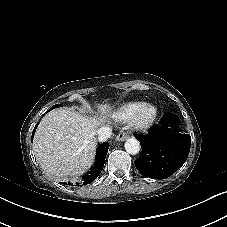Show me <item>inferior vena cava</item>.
Here are the masks:
<instances>
[{
  "label": "inferior vena cava",
  "instance_id": "602c4592",
  "mask_svg": "<svg viewBox=\"0 0 227 227\" xmlns=\"http://www.w3.org/2000/svg\"><path fill=\"white\" fill-rule=\"evenodd\" d=\"M97 139L99 142L107 141L112 135V129L109 126H103L96 130Z\"/></svg>",
  "mask_w": 227,
  "mask_h": 227
}]
</instances>
